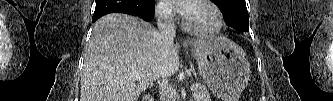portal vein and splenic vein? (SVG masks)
Instances as JSON below:
<instances>
[{
    "label": "portal vein and splenic vein",
    "mask_w": 333,
    "mask_h": 101,
    "mask_svg": "<svg viewBox=\"0 0 333 101\" xmlns=\"http://www.w3.org/2000/svg\"><path fill=\"white\" fill-rule=\"evenodd\" d=\"M132 77H134L135 79H139V80L142 78V76H140L138 74H133ZM195 88H196V86H191L190 89H191V91H194Z\"/></svg>",
    "instance_id": "obj_1"
}]
</instances>
